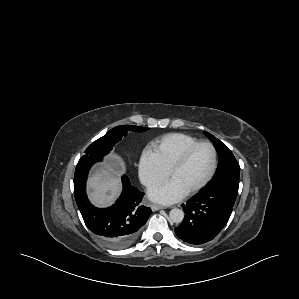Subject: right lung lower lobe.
<instances>
[{
    "mask_svg": "<svg viewBox=\"0 0 299 299\" xmlns=\"http://www.w3.org/2000/svg\"><path fill=\"white\" fill-rule=\"evenodd\" d=\"M100 160L78 162L74 175L76 203L86 226L102 242L113 249H124L135 242L139 229L152 211L141 204L143 193L130 183L127 176L122 177L123 192L116 203L106 209L95 208L87 199L85 187L90 167Z\"/></svg>",
    "mask_w": 299,
    "mask_h": 299,
    "instance_id": "right-lung-lower-lobe-1",
    "label": "right lung lower lobe"
}]
</instances>
